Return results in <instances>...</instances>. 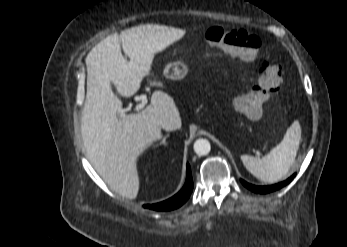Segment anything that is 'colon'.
<instances>
[{
  "label": "colon",
  "instance_id": "colon-1",
  "mask_svg": "<svg viewBox=\"0 0 347 247\" xmlns=\"http://www.w3.org/2000/svg\"><path fill=\"white\" fill-rule=\"evenodd\" d=\"M204 40L210 46L237 56L244 61L259 58L258 85L248 87L244 95L237 100V107L247 116L256 118L261 114L265 94L278 92L283 84L282 72L277 65L271 64L265 57H260L261 39L243 29H224L212 26L203 32Z\"/></svg>",
  "mask_w": 347,
  "mask_h": 247
}]
</instances>
